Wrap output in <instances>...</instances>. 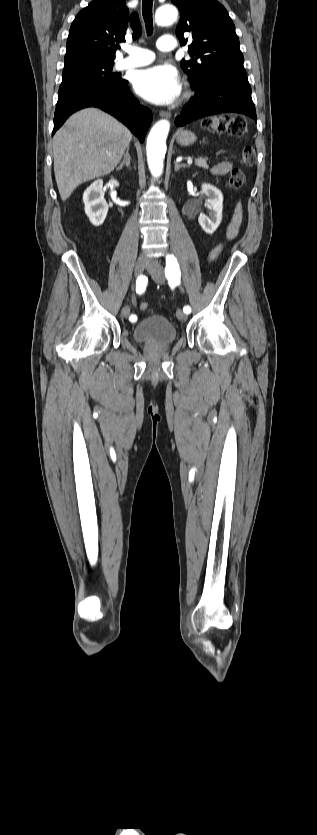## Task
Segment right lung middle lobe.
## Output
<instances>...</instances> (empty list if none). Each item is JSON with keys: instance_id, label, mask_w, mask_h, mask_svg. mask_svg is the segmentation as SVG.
<instances>
[{"instance_id": "1", "label": "right lung middle lobe", "mask_w": 317, "mask_h": 835, "mask_svg": "<svg viewBox=\"0 0 317 835\" xmlns=\"http://www.w3.org/2000/svg\"><path fill=\"white\" fill-rule=\"evenodd\" d=\"M113 64L114 62L97 58H77L65 61L59 93L98 83H124V79L112 73Z\"/></svg>"}]
</instances>
